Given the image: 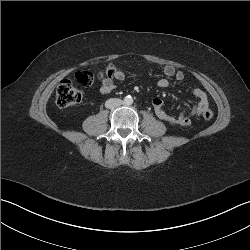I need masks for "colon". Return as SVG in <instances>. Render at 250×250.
<instances>
[{"label":"colon","instance_id":"obj_1","mask_svg":"<svg viewBox=\"0 0 250 250\" xmlns=\"http://www.w3.org/2000/svg\"><path fill=\"white\" fill-rule=\"evenodd\" d=\"M120 69L116 68L113 65L108 66L104 70L98 73V77H114ZM77 81L83 86H89L93 81V76L89 72H78L76 75ZM83 97L81 90L76 88L70 80H63L58 86L56 92V102L57 105L61 108H68L78 104ZM202 115L204 119L210 120L213 117V112L210 108H206Z\"/></svg>","mask_w":250,"mask_h":250}]
</instances>
